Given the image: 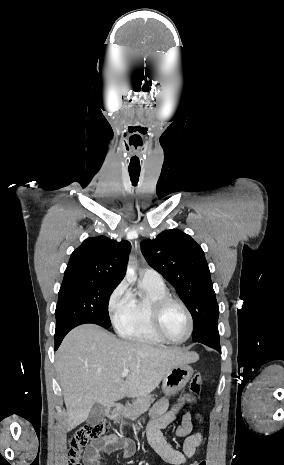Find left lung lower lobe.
<instances>
[{
    "label": "left lung lower lobe",
    "instance_id": "obj_1",
    "mask_svg": "<svg viewBox=\"0 0 284 465\" xmlns=\"http://www.w3.org/2000/svg\"><path fill=\"white\" fill-rule=\"evenodd\" d=\"M194 342H199V343L205 344V345H207L209 347H212V348L216 349L217 351L221 352L220 343H219V332L207 334V335L195 340Z\"/></svg>",
    "mask_w": 284,
    "mask_h": 465
}]
</instances>
